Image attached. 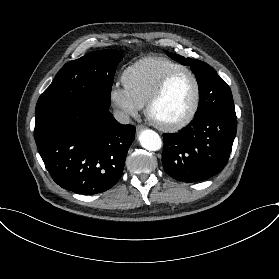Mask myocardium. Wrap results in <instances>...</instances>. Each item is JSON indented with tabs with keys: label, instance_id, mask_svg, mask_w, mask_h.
<instances>
[{
	"label": "myocardium",
	"instance_id": "1",
	"mask_svg": "<svg viewBox=\"0 0 279 279\" xmlns=\"http://www.w3.org/2000/svg\"><path fill=\"white\" fill-rule=\"evenodd\" d=\"M181 74H188L193 80L195 92H194V98L192 104L188 109V111L180 119L172 122L161 121L154 116L153 113L154 106L157 103V101L162 97V95L165 93L170 83ZM200 98H201V87L196 75L190 69L187 68L173 71L167 74L151 93L147 102L148 118L156 125H158L162 129L167 131H176L182 129L187 125H189L194 119L195 115L197 114L199 109V104H200Z\"/></svg>",
	"mask_w": 279,
	"mask_h": 279
}]
</instances>
